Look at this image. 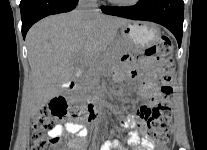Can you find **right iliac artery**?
Masks as SVG:
<instances>
[{"label": "right iliac artery", "instance_id": "1", "mask_svg": "<svg viewBox=\"0 0 207 150\" xmlns=\"http://www.w3.org/2000/svg\"><path fill=\"white\" fill-rule=\"evenodd\" d=\"M110 143L109 142H106L102 147H101V150H110Z\"/></svg>", "mask_w": 207, "mask_h": 150}]
</instances>
